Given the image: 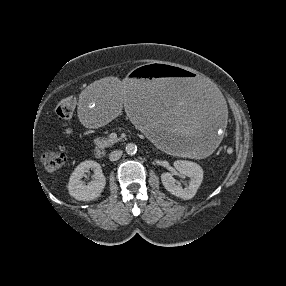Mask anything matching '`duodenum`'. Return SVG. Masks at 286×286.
<instances>
[{
  "instance_id": "1",
  "label": "duodenum",
  "mask_w": 286,
  "mask_h": 286,
  "mask_svg": "<svg viewBox=\"0 0 286 286\" xmlns=\"http://www.w3.org/2000/svg\"><path fill=\"white\" fill-rule=\"evenodd\" d=\"M95 156L99 159H101L104 156V151L100 148H97L95 150Z\"/></svg>"
}]
</instances>
